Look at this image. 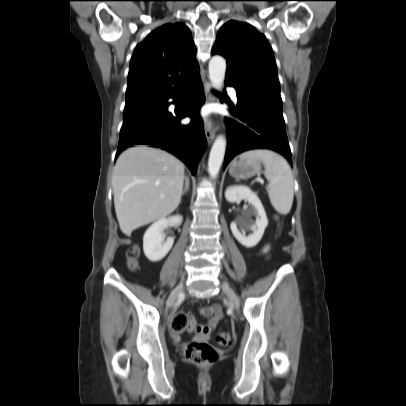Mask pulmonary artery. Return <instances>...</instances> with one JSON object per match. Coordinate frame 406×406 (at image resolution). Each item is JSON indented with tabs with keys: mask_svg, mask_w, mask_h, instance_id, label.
Listing matches in <instances>:
<instances>
[{
	"mask_svg": "<svg viewBox=\"0 0 406 406\" xmlns=\"http://www.w3.org/2000/svg\"><path fill=\"white\" fill-rule=\"evenodd\" d=\"M228 90H229V92H230V95H231L233 101L237 103L238 99H237V95H236L235 89L229 88Z\"/></svg>",
	"mask_w": 406,
	"mask_h": 406,
	"instance_id": "e3ab8cb5",
	"label": "pulmonary artery"
}]
</instances>
